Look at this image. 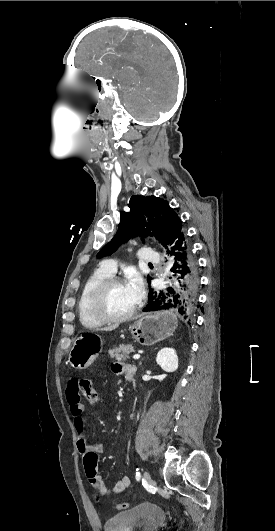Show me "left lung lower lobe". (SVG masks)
I'll list each match as a JSON object with an SVG mask.
<instances>
[{
  "instance_id": "left-lung-lower-lobe-1",
  "label": "left lung lower lobe",
  "mask_w": 275,
  "mask_h": 531,
  "mask_svg": "<svg viewBox=\"0 0 275 531\" xmlns=\"http://www.w3.org/2000/svg\"><path fill=\"white\" fill-rule=\"evenodd\" d=\"M165 248L173 259V279L170 286L157 296L152 297L149 293V301L144 311L173 310L189 323L199 307L196 305L199 275L197 259L181 223L172 232Z\"/></svg>"
}]
</instances>
